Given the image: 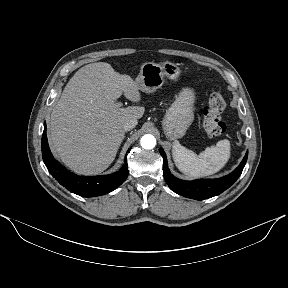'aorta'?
Instances as JSON below:
<instances>
[{
  "label": "aorta",
  "instance_id": "obj_1",
  "mask_svg": "<svg viewBox=\"0 0 288 288\" xmlns=\"http://www.w3.org/2000/svg\"><path fill=\"white\" fill-rule=\"evenodd\" d=\"M140 144H141L142 148H144V149H152L156 145V139L153 135L146 134V135L142 136V138L140 140Z\"/></svg>",
  "mask_w": 288,
  "mask_h": 288
}]
</instances>
